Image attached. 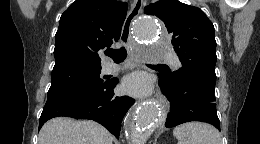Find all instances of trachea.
I'll use <instances>...</instances> for the list:
<instances>
[{
	"label": "trachea",
	"instance_id": "obj_1",
	"mask_svg": "<svg viewBox=\"0 0 260 144\" xmlns=\"http://www.w3.org/2000/svg\"><path fill=\"white\" fill-rule=\"evenodd\" d=\"M105 54L111 57L116 63L123 62L127 57V51L124 47L117 50H107Z\"/></svg>",
	"mask_w": 260,
	"mask_h": 144
}]
</instances>
